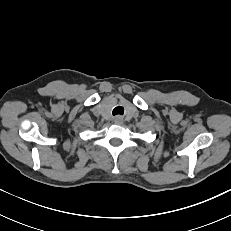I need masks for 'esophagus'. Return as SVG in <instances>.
<instances>
[{"label": "esophagus", "instance_id": "34e87169", "mask_svg": "<svg viewBox=\"0 0 231 231\" xmlns=\"http://www.w3.org/2000/svg\"><path fill=\"white\" fill-rule=\"evenodd\" d=\"M123 118L121 117V116H116L115 118H114V122H115V124H117V125H121V124H123Z\"/></svg>", "mask_w": 231, "mask_h": 231}]
</instances>
